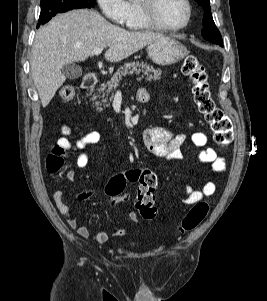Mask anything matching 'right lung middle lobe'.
I'll return each mask as SVG.
<instances>
[{
    "instance_id": "1",
    "label": "right lung middle lobe",
    "mask_w": 267,
    "mask_h": 301,
    "mask_svg": "<svg viewBox=\"0 0 267 301\" xmlns=\"http://www.w3.org/2000/svg\"><path fill=\"white\" fill-rule=\"evenodd\" d=\"M96 0H41L39 25L45 24L57 13L72 9L93 8Z\"/></svg>"
}]
</instances>
